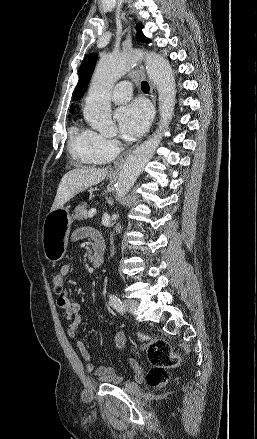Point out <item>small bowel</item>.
<instances>
[{
    "instance_id": "small-bowel-1",
    "label": "small bowel",
    "mask_w": 257,
    "mask_h": 439,
    "mask_svg": "<svg viewBox=\"0 0 257 439\" xmlns=\"http://www.w3.org/2000/svg\"><path fill=\"white\" fill-rule=\"evenodd\" d=\"M88 236L93 238L94 241L98 238H101L98 233L91 229L80 228L73 233L72 240L78 241ZM71 270L72 267L70 264H64L60 268V275L62 277L67 276L70 274ZM57 304L61 309L65 311V316L67 320L70 321L67 327L68 336L71 338H76L77 328L82 321L80 304L78 302L72 301L65 292L62 295H59L57 299ZM76 346L80 355L85 361L86 371L88 373L94 372V364L85 344L82 341L77 340ZM113 347L116 350H121L126 347V337L123 332H116L113 335ZM129 365L133 372V382L140 383L144 378L142 367L134 358L129 359ZM95 375L100 381L108 382L114 385H119L126 382L124 377L118 375L115 369L109 365H104L97 368L95 370ZM128 383H130V381H128Z\"/></svg>"
}]
</instances>
